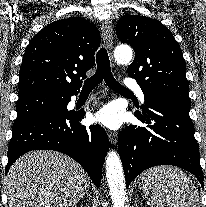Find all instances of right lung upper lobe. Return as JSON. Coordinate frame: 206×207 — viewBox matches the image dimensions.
Instances as JSON below:
<instances>
[{
  "mask_svg": "<svg viewBox=\"0 0 206 207\" xmlns=\"http://www.w3.org/2000/svg\"><path fill=\"white\" fill-rule=\"evenodd\" d=\"M99 44L98 28L84 18L71 17L47 25L25 50L18 97L78 92L86 72L94 66Z\"/></svg>",
  "mask_w": 206,
  "mask_h": 207,
  "instance_id": "1",
  "label": "right lung upper lobe"
}]
</instances>
